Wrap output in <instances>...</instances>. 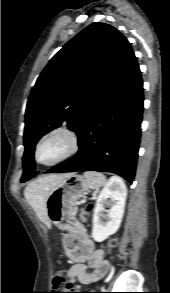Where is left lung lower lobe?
Returning a JSON list of instances; mask_svg holds the SVG:
<instances>
[{
    "mask_svg": "<svg viewBox=\"0 0 170 293\" xmlns=\"http://www.w3.org/2000/svg\"><path fill=\"white\" fill-rule=\"evenodd\" d=\"M143 100L141 72L132 52L78 134V153L46 173L112 172L132 183L141 137Z\"/></svg>",
    "mask_w": 170,
    "mask_h": 293,
    "instance_id": "left-lung-lower-lobe-1",
    "label": "left lung lower lobe"
}]
</instances>
